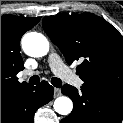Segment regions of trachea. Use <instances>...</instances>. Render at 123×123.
<instances>
[{
  "label": "trachea",
  "mask_w": 123,
  "mask_h": 123,
  "mask_svg": "<svg viewBox=\"0 0 123 123\" xmlns=\"http://www.w3.org/2000/svg\"><path fill=\"white\" fill-rule=\"evenodd\" d=\"M39 82H40V78L37 75H34L29 79V83L32 85H37V84H39ZM51 83H52V85H54L57 88H60L62 85V81L56 77L51 79Z\"/></svg>",
  "instance_id": "3493384b"
}]
</instances>
